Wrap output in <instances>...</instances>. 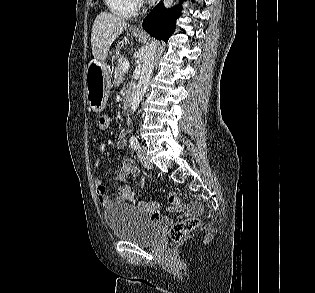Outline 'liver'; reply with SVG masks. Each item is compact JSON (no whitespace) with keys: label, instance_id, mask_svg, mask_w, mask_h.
I'll use <instances>...</instances> for the list:
<instances>
[{"label":"liver","instance_id":"liver-1","mask_svg":"<svg viewBox=\"0 0 315 293\" xmlns=\"http://www.w3.org/2000/svg\"><path fill=\"white\" fill-rule=\"evenodd\" d=\"M129 26L120 17L101 12L95 18L91 33V46L94 57L106 59L113 42Z\"/></svg>","mask_w":315,"mask_h":293}]
</instances>
